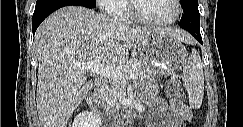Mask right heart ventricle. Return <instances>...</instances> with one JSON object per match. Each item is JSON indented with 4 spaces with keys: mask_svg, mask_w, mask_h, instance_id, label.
<instances>
[{
    "mask_svg": "<svg viewBox=\"0 0 243 127\" xmlns=\"http://www.w3.org/2000/svg\"><path fill=\"white\" fill-rule=\"evenodd\" d=\"M129 2L130 1L127 0H120V2L118 3V8L120 9V13L118 14V16L122 20H133L129 11Z\"/></svg>",
    "mask_w": 243,
    "mask_h": 127,
    "instance_id": "1",
    "label": "right heart ventricle"
}]
</instances>
